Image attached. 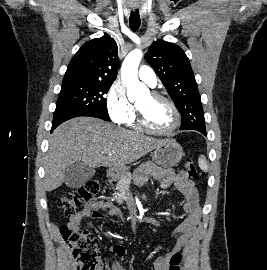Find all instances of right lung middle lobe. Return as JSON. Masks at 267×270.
Instances as JSON below:
<instances>
[{
  "label": "right lung middle lobe",
  "mask_w": 267,
  "mask_h": 270,
  "mask_svg": "<svg viewBox=\"0 0 267 270\" xmlns=\"http://www.w3.org/2000/svg\"><path fill=\"white\" fill-rule=\"evenodd\" d=\"M113 82L68 80L62 83L56 113L108 115L106 98Z\"/></svg>",
  "instance_id": "right-lung-middle-lobe-1"
}]
</instances>
